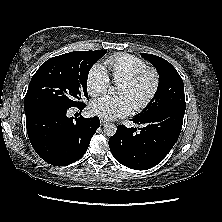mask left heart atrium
<instances>
[{"instance_id":"1","label":"left heart atrium","mask_w":222,"mask_h":222,"mask_svg":"<svg viewBox=\"0 0 222 222\" xmlns=\"http://www.w3.org/2000/svg\"><path fill=\"white\" fill-rule=\"evenodd\" d=\"M132 104L125 95H105L95 99L91 104V111L106 120H115L128 115Z\"/></svg>"}]
</instances>
